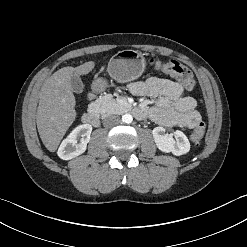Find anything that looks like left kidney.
Listing matches in <instances>:
<instances>
[{
  "mask_svg": "<svg viewBox=\"0 0 247 247\" xmlns=\"http://www.w3.org/2000/svg\"><path fill=\"white\" fill-rule=\"evenodd\" d=\"M152 134L156 146L162 152H171L176 156H180L187 154L190 150L189 140L182 131L176 130L174 133L166 134L163 127H156L153 129Z\"/></svg>",
  "mask_w": 247,
  "mask_h": 247,
  "instance_id": "obj_1",
  "label": "left kidney"
}]
</instances>
